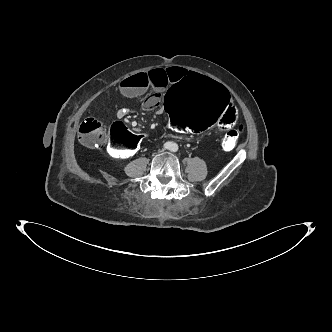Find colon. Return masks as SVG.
I'll return each mask as SVG.
<instances>
[{
    "label": "colon",
    "mask_w": 332,
    "mask_h": 332,
    "mask_svg": "<svg viewBox=\"0 0 332 332\" xmlns=\"http://www.w3.org/2000/svg\"><path fill=\"white\" fill-rule=\"evenodd\" d=\"M164 107L172 126L184 133H203L216 127L226 130L222 146L236 147L243 125L233 129L239 109L228 88L200 75L190 74L171 86L164 98ZM80 142L88 147L102 145L103 150L116 159H126L137 153L141 137L121 123L112 124L106 131L95 118H86L79 126Z\"/></svg>",
    "instance_id": "obj_1"
}]
</instances>
